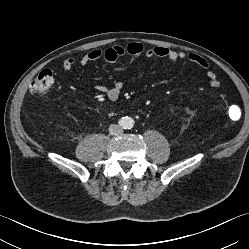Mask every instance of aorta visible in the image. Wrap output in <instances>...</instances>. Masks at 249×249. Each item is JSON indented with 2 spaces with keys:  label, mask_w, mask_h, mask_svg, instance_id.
<instances>
[{
  "label": "aorta",
  "mask_w": 249,
  "mask_h": 249,
  "mask_svg": "<svg viewBox=\"0 0 249 249\" xmlns=\"http://www.w3.org/2000/svg\"><path fill=\"white\" fill-rule=\"evenodd\" d=\"M122 125L125 129H130L134 126V120L131 117H124Z\"/></svg>",
  "instance_id": "obj_1"
}]
</instances>
